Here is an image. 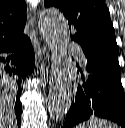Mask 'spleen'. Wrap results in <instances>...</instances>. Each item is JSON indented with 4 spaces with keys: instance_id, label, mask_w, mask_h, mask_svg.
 Here are the masks:
<instances>
[{
    "instance_id": "spleen-1",
    "label": "spleen",
    "mask_w": 125,
    "mask_h": 128,
    "mask_svg": "<svg viewBox=\"0 0 125 128\" xmlns=\"http://www.w3.org/2000/svg\"><path fill=\"white\" fill-rule=\"evenodd\" d=\"M77 128H118L116 125L98 118H91L81 123Z\"/></svg>"
}]
</instances>
